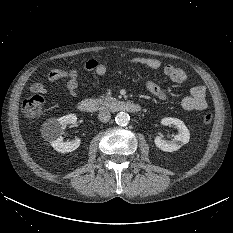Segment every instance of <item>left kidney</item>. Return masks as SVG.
Masks as SVG:
<instances>
[{"label": "left kidney", "instance_id": "obj_1", "mask_svg": "<svg viewBox=\"0 0 233 233\" xmlns=\"http://www.w3.org/2000/svg\"><path fill=\"white\" fill-rule=\"evenodd\" d=\"M162 125H174L178 129V133L174 135L172 140H164L160 136H157L154 140L156 147L165 152H173L180 149L184 144H187L190 139V133L185 124L177 118H163L161 120Z\"/></svg>", "mask_w": 233, "mask_h": 233}]
</instances>
